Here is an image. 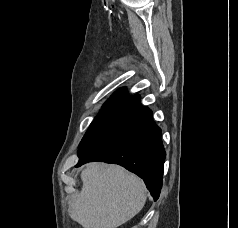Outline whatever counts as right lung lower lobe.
<instances>
[{"instance_id": "obj_1", "label": "right lung lower lobe", "mask_w": 238, "mask_h": 228, "mask_svg": "<svg viewBox=\"0 0 238 228\" xmlns=\"http://www.w3.org/2000/svg\"><path fill=\"white\" fill-rule=\"evenodd\" d=\"M78 157L76 167L91 161L124 166L141 177L158 199L166 153L149 108L141 106L111 122L79 148Z\"/></svg>"}]
</instances>
